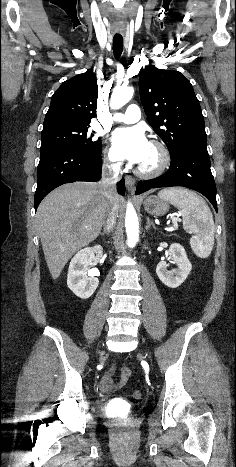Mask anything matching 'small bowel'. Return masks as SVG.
I'll return each instance as SVG.
<instances>
[{
    "label": "small bowel",
    "mask_w": 236,
    "mask_h": 467,
    "mask_svg": "<svg viewBox=\"0 0 236 467\" xmlns=\"http://www.w3.org/2000/svg\"><path fill=\"white\" fill-rule=\"evenodd\" d=\"M117 370V365L112 366L110 371L105 374L100 380V390L104 393H111L115 390L123 388L131 376V370L128 367L121 368L120 380L117 384H113V374Z\"/></svg>",
    "instance_id": "c3829d8e"
}]
</instances>
